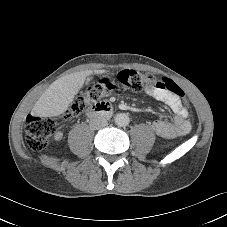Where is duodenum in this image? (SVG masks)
I'll use <instances>...</instances> for the list:
<instances>
[{
  "label": "duodenum",
  "instance_id": "1",
  "mask_svg": "<svg viewBox=\"0 0 227 227\" xmlns=\"http://www.w3.org/2000/svg\"><path fill=\"white\" fill-rule=\"evenodd\" d=\"M88 117L104 116L108 117L113 114V107L108 102H99L87 110Z\"/></svg>",
  "mask_w": 227,
  "mask_h": 227
}]
</instances>
